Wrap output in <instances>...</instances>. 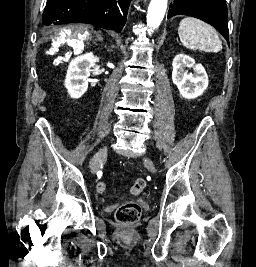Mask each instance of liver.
I'll return each mask as SVG.
<instances>
[{
	"mask_svg": "<svg viewBox=\"0 0 256 267\" xmlns=\"http://www.w3.org/2000/svg\"><path fill=\"white\" fill-rule=\"evenodd\" d=\"M67 28H69V30H72L73 32V34H71V36H68V38H73L75 32H77V34H86V32H89L88 28H84V26H67ZM60 30H65V28H60ZM60 30H55L56 34L57 32H60ZM87 38H91L90 32Z\"/></svg>",
	"mask_w": 256,
	"mask_h": 267,
	"instance_id": "1",
	"label": "liver"
}]
</instances>
